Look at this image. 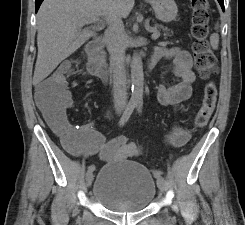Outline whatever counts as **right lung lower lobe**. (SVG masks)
I'll return each instance as SVG.
<instances>
[{
    "mask_svg": "<svg viewBox=\"0 0 245 225\" xmlns=\"http://www.w3.org/2000/svg\"><path fill=\"white\" fill-rule=\"evenodd\" d=\"M43 2V0H36V11L40 7V4Z\"/></svg>",
    "mask_w": 245,
    "mask_h": 225,
    "instance_id": "1",
    "label": "right lung lower lobe"
}]
</instances>
